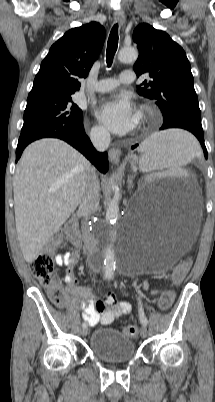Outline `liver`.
<instances>
[{
  "instance_id": "obj_1",
  "label": "liver",
  "mask_w": 215,
  "mask_h": 402,
  "mask_svg": "<svg viewBox=\"0 0 215 402\" xmlns=\"http://www.w3.org/2000/svg\"><path fill=\"white\" fill-rule=\"evenodd\" d=\"M90 162L59 139L45 138L26 147L13 180L17 236L26 262L74 213L85 188Z\"/></svg>"
}]
</instances>
